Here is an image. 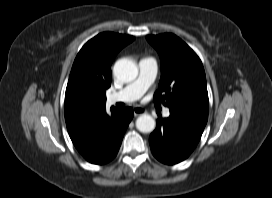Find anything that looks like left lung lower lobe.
<instances>
[{
    "label": "left lung lower lobe",
    "mask_w": 272,
    "mask_h": 198,
    "mask_svg": "<svg viewBox=\"0 0 272 198\" xmlns=\"http://www.w3.org/2000/svg\"><path fill=\"white\" fill-rule=\"evenodd\" d=\"M208 115L170 108L168 118L159 117L149 143L153 155L164 164L185 160L199 142Z\"/></svg>",
    "instance_id": "obj_1"
}]
</instances>
